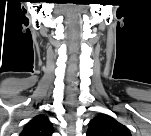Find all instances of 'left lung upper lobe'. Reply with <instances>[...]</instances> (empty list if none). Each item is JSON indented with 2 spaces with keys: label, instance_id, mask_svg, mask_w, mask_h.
Masks as SVG:
<instances>
[{
  "label": "left lung upper lobe",
  "instance_id": "left-lung-upper-lobe-1",
  "mask_svg": "<svg viewBox=\"0 0 151 136\" xmlns=\"http://www.w3.org/2000/svg\"><path fill=\"white\" fill-rule=\"evenodd\" d=\"M87 136H131L129 129L106 114L94 117L87 130Z\"/></svg>",
  "mask_w": 151,
  "mask_h": 136
}]
</instances>
